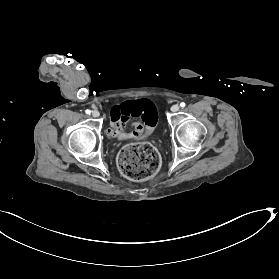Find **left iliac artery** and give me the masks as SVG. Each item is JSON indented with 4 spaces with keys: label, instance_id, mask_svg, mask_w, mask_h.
Segmentation results:
<instances>
[{
    "label": "left iliac artery",
    "instance_id": "1",
    "mask_svg": "<svg viewBox=\"0 0 279 279\" xmlns=\"http://www.w3.org/2000/svg\"><path fill=\"white\" fill-rule=\"evenodd\" d=\"M180 106H181L182 108L185 107V103L182 102V103L180 104Z\"/></svg>",
    "mask_w": 279,
    "mask_h": 279
}]
</instances>
